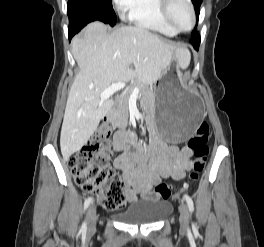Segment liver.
I'll return each instance as SVG.
<instances>
[{"label":"liver","instance_id":"liver-1","mask_svg":"<svg viewBox=\"0 0 264 247\" xmlns=\"http://www.w3.org/2000/svg\"><path fill=\"white\" fill-rule=\"evenodd\" d=\"M173 49L145 28L123 26L108 33V27L98 21L73 38L79 72L69 91L61 129L64 160L87 143L112 109L114 101L101 100L100 94L132 77L145 84L156 82L170 65Z\"/></svg>","mask_w":264,"mask_h":247}]
</instances>
